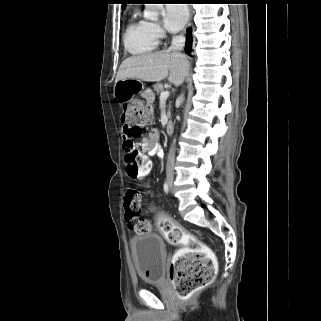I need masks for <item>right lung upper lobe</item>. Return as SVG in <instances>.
I'll return each mask as SVG.
<instances>
[{"label":"right lung upper lobe","instance_id":"1","mask_svg":"<svg viewBox=\"0 0 321 321\" xmlns=\"http://www.w3.org/2000/svg\"><path fill=\"white\" fill-rule=\"evenodd\" d=\"M124 2L122 3V9L125 8L126 4L128 3L129 0H123Z\"/></svg>","mask_w":321,"mask_h":321}]
</instances>
